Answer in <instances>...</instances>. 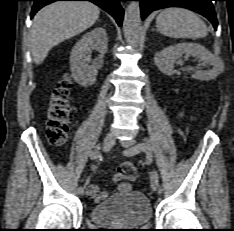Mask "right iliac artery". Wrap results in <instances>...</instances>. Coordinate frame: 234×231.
Segmentation results:
<instances>
[{"label": "right iliac artery", "mask_w": 234, "mask_h": 231, "mask_svg": "<svg viewBox=\"0 0 234 231\" xmlns=\"http://www.w3.org/2000/svg\"><path fill=\"white\" fill-rule=\"evenodd\" d=\"M99 157H100V153H99L98 149H96V150H94V151H92L90 153V159H92V160H95V159H97ZM88 183H89V178L85 181L84 186L83 187L80 186V188L81 189L86 188V186H87Z\"/></svg>", "instance_id": "right-iliac-artery-1"}]
</instances>
